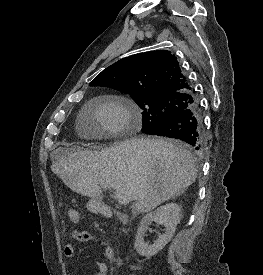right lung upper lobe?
<instances>
[{
    "mask_svg": "<svg viewBox=\"0 0 263 275\" xmlns=\"http://www.w3.org/2000/svg\"><path fill=\"white\" fill-rule=\"evenodd\" d=\"M90 85L111 87L130 95H192L176 57L167 50L123 58L103 70Z\"/></svg>",
    "mask_w": 263,
    "mask_h": 275,
    "instance_id": "cb5924a9",
    "label": "right lung upper lobe"
}]
</instances>
